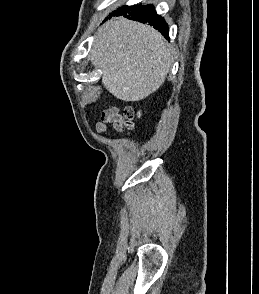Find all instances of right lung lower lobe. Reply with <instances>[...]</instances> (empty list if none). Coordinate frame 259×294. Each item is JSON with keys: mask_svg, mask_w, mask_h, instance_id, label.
Returning <instances> with one entry per match:
<instances>
[{"mask_svg": "<svg viewBox=\"0 0 259 294\" xmlns=\"http://www.w3.org/2000/svg\"><path fill=\"white\" fill-rule=\"evenodd\" d=\"M124 15L129 19H133L142 23H148L150 26H153L155 29H158L162 32V35L165 38H168L169 28L165 20L156 13L153 5L146 6H134L128 11L120 14Z\"/></svg>", "mask_w": 259, "mask_h": 294, "instance_id": "1", "label": "right lung lower lobe"}]
</instances>
